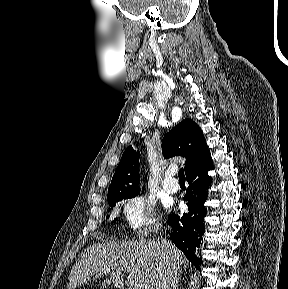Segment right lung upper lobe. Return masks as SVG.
<instances>
[{"label":"right lung upper lobe","mask_w":288,"mask_h":289,"mask_svg":"<svg viewBox=\"0 0 288 289\" xmlns=\"http://www.w3.org/2000/svg\"><path fill=\"white\" fill-rule=\"evenodd\" d=\"M162 152L166 159L174 156L186 157V174L210 155L201 129L190 119L183 120L165 135ZM139 156V151L133 150L132 146L125 150L108 192L139 188Z\"/></svg>","instance_id":"1"}]
</instances>
